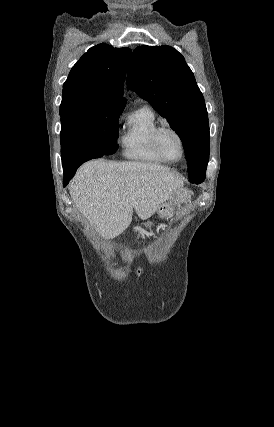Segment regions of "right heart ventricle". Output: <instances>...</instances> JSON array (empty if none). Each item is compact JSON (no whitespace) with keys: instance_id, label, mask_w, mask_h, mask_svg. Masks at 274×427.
<instances>
[{"instance_id":"e07e8e85","label":"right heart ventricle","mask_w":274,"mask_h":427,"mask_svg":"<svg viewBox=\"0 0 274 427\" xmlns=\"http://www.w3.org/2000/svg\"><path fill=\"white\" fill-rule=\"evenodd\" d=\"M159 126L154 111L143 105L127 118L119 143L124 158L149 164H163L153 146V135Z\"/></svg>"}]
</instances>
